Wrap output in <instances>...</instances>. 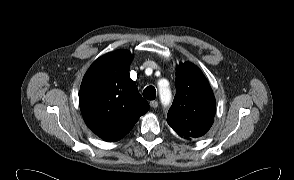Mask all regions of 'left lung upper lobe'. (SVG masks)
Returning a JSON list of instances; mask_svg holds the SVG:
<instances>
[{
  "mask_svg": "<svg viewBox=\"0 0 294 180\" xmlns=\"http://www.w3.org/2000/svg\"><path fill=\"white\" fill-rule=\"evenodd\" d=\"M176 95L168 111L167 122L181 137L203 136L214 121L216 102L213 91L201 70L192 63L176 70Z\"/></svg>",
  "mask_w": 294,
  "mask_h": 180,
  "instance_id": "left-lung-upper-lobe-1",
  "label": "left lung upper lobe"
}]
</instances>
